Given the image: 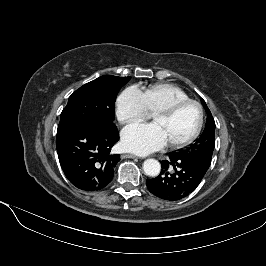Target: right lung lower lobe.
I'll return each instance as SVG.
<instances>
[{
	"label": "right lung lower lobe",
	"instance_id": "right-lung-lower-lobe-1",
	"mask_svg": "<svg viewBox=\"0 0 266 266\" xmlns=\"http://www.w3.org/2000/svg\"><path fill=\"white\" fill-rule=\"evenodd\" d=\"M119 140L117 127L101 128L83 123L58 126L56 148L61 168L78 189L98 191L106 187L120 161L111 148Z\"/></svg>",
	"mask_w": 266,
	"mask_h": 266
}]
</instances>
